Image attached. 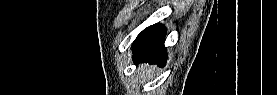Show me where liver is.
I'll return each mask as SVG.
<instances>
[{
	"instance_id": "6515ba94",
	"label": "liver",
	"mask_w": 277,
	"mask_h": 95,
	"mask_svg": "<svg viewBox=\"0 0 277 95\" xmlns=\"http://www.w3.org/2000/svg\"><path fill=\"white\" fill-rule=\"evenodd\" d=\"M143 70L146 71L147 73L151 72V68L148 70L147 68L144 67Z\"/></svg>"
}]
</instances>
